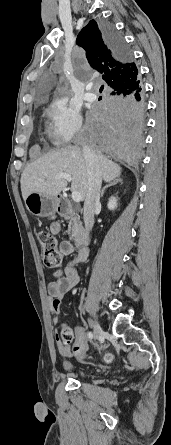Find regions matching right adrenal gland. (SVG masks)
I'll return each mask as SVG.
<instances>
[{"label": "right adrenal gland", "instance_id": "obj_1", "mask_svg": "<svg viewBox=\"0 0 171 445\" xmlns=\"http://www.w3.org/2000/svg\"><path fill=\"white\" fill-rule=\"evenodd\" d=\"M117 183H122V179L121 178H117L116 180H114L113 182H110L109 184H107L101 191V195L100 197H103L104 192L107 188L116 185Z\"/></svg>", "mask_w": 171, "mask_h": 445}]
</instances>
